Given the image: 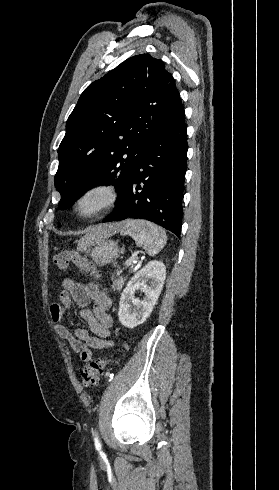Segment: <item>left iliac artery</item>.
Returning <instances> with one entry per match:
<instances>
[{
	"mask_svg": "<svg viewBox=\"0 0 279 490\" xmlns=\"http://www.w3.org/2000/svg\"><path fill=\"white\" fill-rule=\"evenodd\" d=\"M112 379H113V374H110L109 381H111ZM95 446H96V449L97 450H100L101 449V444L99 443L98 438H95Z\"/></svg>",
	"mask_w": 279,
	"mask_h": 490,
	"instance_id": "44dca946",
	"label": "left iliac artery"
}]
</instances>
